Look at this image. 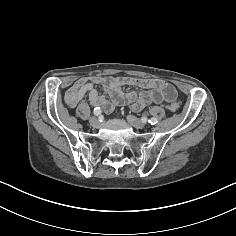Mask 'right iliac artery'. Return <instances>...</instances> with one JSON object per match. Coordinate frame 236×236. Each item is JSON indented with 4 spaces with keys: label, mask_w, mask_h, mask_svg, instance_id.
Returning a JSON list of instances; mask_svg holds the SVG:
<instances>
[{
    "label": "right iliac artery",
    "mask_w": 236,
    "mask_h": 236,
    "mask_svg": "<svg viewBox=\"0 0 236 236\" xmlns=\"http://www.w3.org/2000/svg\"><path fill=\"white\" fill-rule=\"evenodd\" d=\"M102 111L100 110V108L96 107L93 111V114L96 115V116H99L101 115Z\"/></svg>",
    "instance_id": "1"
}]
</instances>
